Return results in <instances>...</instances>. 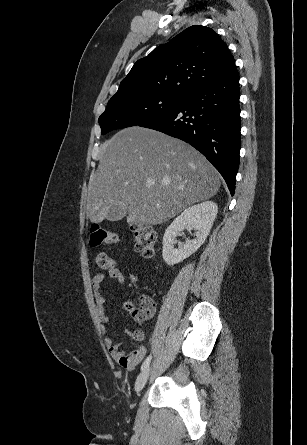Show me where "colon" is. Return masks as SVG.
Segmentation results:
<instances>
[{
	"instance_id": "1",
	"label": "colon",
	"mask_w": 307,
	"mask_h": 445,
	"mask_svg": "<svg viewBox=\"0 0 307 445\" xmlns=\"http://www.w3.org/2000/svg\"><path fill=\"white\" fill-rule=\"evenodd\" d=\"M131 231L136 251L143 257H152L158 242L157 233L152 228L141 224H133ZM118 241L119 238L115 232L106 230L99 224L91 226L89 243L92 247L101 244H116ZM95 261L101 270L108 271L114 268V261L106 252H98L95 255ZM127 307L133 319L138 323L150 319L154 314V304L148 297H142L137 306L129 304Z\"/></svg>"
}]
</instances>
